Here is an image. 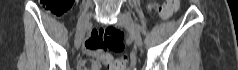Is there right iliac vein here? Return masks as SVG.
<instances>
[{
	"label": "right iliac vein",
	"mask_w": 238,
	"mask_h": 70,
	"mask_svg": "<svg viewBox=\"0 0 238 70\" xmlns=\"http://www.w3.org/2000/svg\"><path fill=\"white\" fill-rule=\"evenodd\" d=\"M91 17H92L91 13L87 14L78 23L77 32L75 36V47L77 49L80 48L84 35L91 24Z\"/></svg>",
	"instance_id": "right-iliac-vein-1"
}]
</instances>
